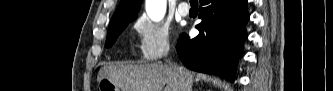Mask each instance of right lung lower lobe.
I'll return each mask as SVG.
<instances>
[{"label":"right lung lower lobe","instance_id":"1","mask_svg":"<svg viewBox=\"0 0 333 91\" xmlns=\"http://www.w3.org/2000/svg\"><path fill=\"white\" fill-rule=\"evenodd\" d=\"M199 18V35L190 39L182 34L178 40L180 59L191 70L233 81L234 65L246 39L247 0H200Z\"/></svg>","mask_w":333,"mask_h":91}]
</instances>
